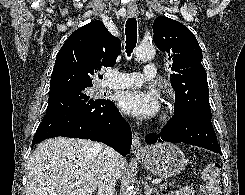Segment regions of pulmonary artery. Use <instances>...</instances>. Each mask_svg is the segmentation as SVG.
Returning a JSON list of instances; mask_svg holds the SVG:
<instances>
[{
  "label": "pulmonary artery",
  "instance_id": "e3ab8cb5",
  "mask_svg": "<svg viewBox=\"0 0 245 195\" xmlns=\"http://www.w3.org/2000/svg\"><path fill=\"white\" fill-rule=\"evenodd\" d=\"M155 65L149 63L145 67L144 74L114 71L108 75V79L101 83L102 87L110 89L135 88L142 85L146 80L156 76Z\"/></svg>",
  "mask_w": 245,
  "mask_h": 195
}]
</instances>
